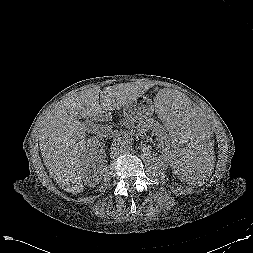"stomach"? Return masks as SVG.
Instances as JSON below:
<instances>
[{
	"instance_id": "1",
	"label": "stomach",
	"mask_w": 253,
	"mask_h": 253,
	"mask_svg": "<svg viewBox=\"0 0 253 253\" xmlns=\"http://www.w3.org/2000/svg\"><path fill=\"white\" fill-rule=\"evenodd\" d=\"M154 105L151 99L142 97L123 108L124 116L131 121H142L152 116Z\"/></svg>"
}]
</instances>
